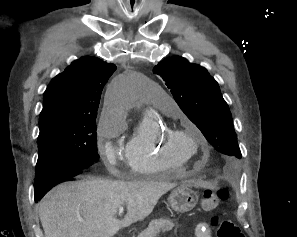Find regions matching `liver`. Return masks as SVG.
Masks as SVG:
<instances>
[{"label":"liver","instance_id":"1","mask_svg":"<svg viewBox=\"0 0 297 237\" xmlns=\"http://www.w3.org/2000/svg\"><path fill=\"white\" fill-rule=\"evenodd\" d=\"M176 184L88 180L61 184L39 203L45 237H113L121 228L144 220ZM127 206L122 220L115 215Z\"/></svg>","mask_w":297,"mask_h":237}]
</instances>
